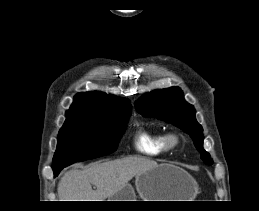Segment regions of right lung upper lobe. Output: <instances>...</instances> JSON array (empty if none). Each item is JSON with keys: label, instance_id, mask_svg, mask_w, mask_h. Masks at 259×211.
<instances>
[{"label": "right lung upper lobe", "instance_id": "obj_1", "mask_svg": "<svg viewBox=\"0 0 259 211\" xmlns=\"http://www.w3.org/2000/svg\"><path fill=\"white\" fill-rule=\"evenodd\" d=\"M131 104L127 99H119L102 92H82L74 97L73 104L65 115L85 113L91 115L130 114Z\"/></svg>", "mask_w": 259, "mask_h": 211}]
</instances>
